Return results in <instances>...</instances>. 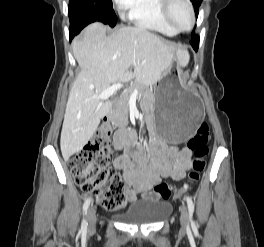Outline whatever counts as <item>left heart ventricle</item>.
I'll list each match as a JSON object with an SVG mask.
<instances>
[{
    "instance_id": "obj_1",
    "label": "left heart ventricle",
    "mask_w": 264,
    "mask_h": 247,
    "mask_svg": "<svg viewBox=\"0 0 264 247\" xmlns=\"http://www.w3.org/2000/svg\"><path fill=\"white\" fill-rule=\"evenodd\" d=\"M172 18L178 27L185 28L191 22L188 6L182 0H176L172 7Z\"/></svg>"
}]
</instances>
